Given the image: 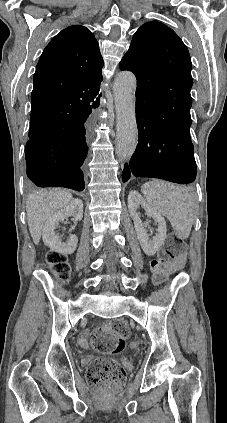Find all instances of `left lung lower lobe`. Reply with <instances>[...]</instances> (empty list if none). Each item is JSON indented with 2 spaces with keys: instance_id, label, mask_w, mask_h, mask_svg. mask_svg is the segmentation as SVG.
I'll use <instances>...</instances> for the list:
<instances>
[{
  "instance_id": "1",
  "label": "left lung lower lobe",
  "mask_w": 227,
  "mask_h": 423,
  "mask_svg": "<svg viewBox=\"0 0 227 423\" xmlns=\"http://www.w3.org/2000/svg\"><path fill=\"white\" fill-rule=\"evenodd\" d=\"M138 144L122 173L188 184L196 178V163L190 138V112H157L136 108Z\"/></svg>"
}]
</instances>
